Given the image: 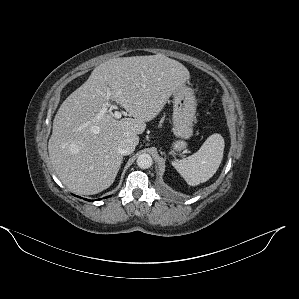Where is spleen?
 <instances>
[{"instance_id":"spleen-1","label":"spleen","mask_w":299,"mask_h":299,"mask_svg":"<svg viewBox=\"0 0 299 299\" xmlns=\"http://www.w3.org/2000/svg\"><path fill=\"white\" fill-rule=\"evenodd\" d=\"M224 139L218 134L210 135L200 149L181 160L172 162L173 167L191 185L209 180L218 170L224 152Z\"/></svg>"}]
</instances>
